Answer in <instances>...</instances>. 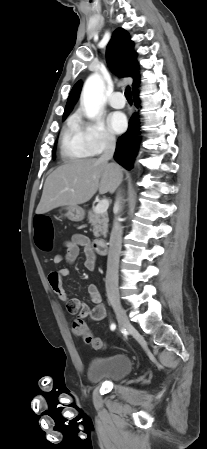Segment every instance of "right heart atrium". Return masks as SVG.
<instances>
[{
	"instance_id": "1",
	"label": "right heart atrium",
	"mask_w": 207,
	"mask_h": 449,
	"mask_svg": "<svg viewBox=\"0 0 207 449\" xmlns=\"http://www.w3.org/2000/svg\"><path fill=\"white\" fill-rule=\"evenodd\" d=\"M81 133L91 155H99L115 146L116 137L101 120L79 121Z\"/></svg>"
}]
</instances>
